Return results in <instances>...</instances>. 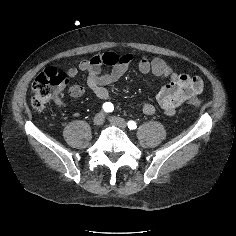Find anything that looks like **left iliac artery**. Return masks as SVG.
<instances>
[{
    "label": "left iliac artery",
    "instance_id": "1",
    "mask_svg": "<svg viewBox=\"0 0 236 236\" xmlns=\"http://www.w3.org/2000/svg\"><path fill=\"white\" fill-rule=\"evenodd\" d=\"M128 128L131 129V130H134L137 128V124L134 122V121H128Z\"/></svg>",
    "mask_w": 236,
    "mask_h": 236
}]
</instances>
